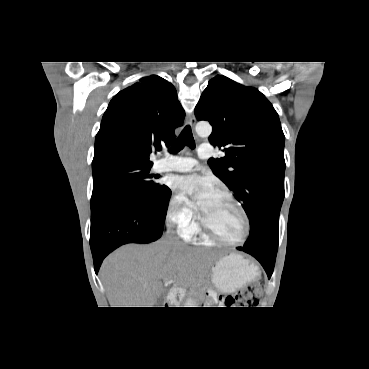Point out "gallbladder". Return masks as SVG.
Masks as SVG:
<instances>
[{
	"label": "gallbladder",
	"mask_w": 369,
	"mask_h": 369,
	"mask_svg": "<svg viewBox=\"0 0 369 369\" xmlns=\"http://www.w3.org/2000/svg\"><path fill=\"white\" fill-rule=\"evenodd\" d=\"M163 302V297H159L158 298V304L162 303Z\"/></svg>",
	"instance_id": "obj_1"
}]
</instances>
